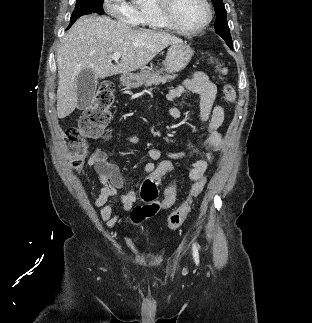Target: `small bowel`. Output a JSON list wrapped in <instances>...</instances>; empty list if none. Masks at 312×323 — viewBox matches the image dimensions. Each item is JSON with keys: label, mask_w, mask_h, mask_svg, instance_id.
Here are the masks:
<instances>
[{"label": "small bowel", "mask_w": 312, "mask_h": 323, "mask_svg": "<svg viewBox=\"0 0 312 323\" xmlns=\"http://www.w3.org/2000/svg\"><path fill=\"white\" fill-rule=\"evenodd\" d=\"M185 91L197 94L201 99L200 104V122L206 125L207 136L205 146L207 148L204 156L196 161L190 168L189 179L193 182L201 179L208 166L213 160V155L219 152L223 145V136L220 132L224 121V109L216 101L217 87L203 71L196 70L191 76L185 79L180 85L171 88L167 94L170 102L179 101ZM167 114L170 118L178 120L181 118V112L175 107H169ZM129 141L136 144L140 141L138 136H131ZM185 153L182 151H171L168 158L171 161L180 160ZM147 156L151 160L144 166L145 172L150 174V167L154 165V158H161L160 149L152 147L147 150ZM87 164L91 167L101 185L100 193L94 201V205L100 211V218L109 228H114L122 219V215L113 216V203L109 201L110 197H116L122 205L123 212H130V221L133 224H139L149 218L140 215V208L134 207L137 201V192L134 189L123 192L125 181L118 167L108 161L107 155L102 150H96L88 159ZM162 210H167L164 206H159Z\"/></svg>", "instance_id": "obj_1"}]
</instances>
